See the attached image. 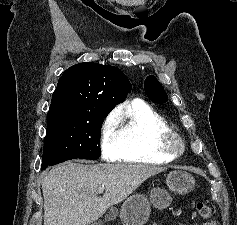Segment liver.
<instances>
[{
  "label": "liver",
  "mask_w": 237,
  "mask_h": 225,
  "mask_svg": "<svg viewBox=\"0 0 237 225\" xmlns=\"http://www.w3.org/2000/svg\"><path fill=\"white\" fill-rule=\"evenodd\" d=\"M163 171L145 164H60L42 180L44 225H89ZM102 185L105 193L99 197Z\"/></svg>",
  "instance_id": "liver-1"
}]
</instances>
